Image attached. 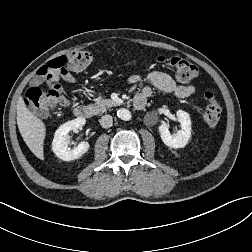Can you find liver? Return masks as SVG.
<instances>
[{
    "mask_svg": "<svg viewBox=\"0 0 252 252\" xmlns=\"http://www.w3.org/2000/svg\"><path fill=\"white\" fill-rule=\"evenodd\" d=\"M17 125L20 134L31 152L39 159H44V122L31 112L20 97L17 103Z\"/></svg>",
    "mask_w": 252,
    "mask_h": 252,
    "instance_id": "liver-1",
    "label": "liver"
}]
</instances>
